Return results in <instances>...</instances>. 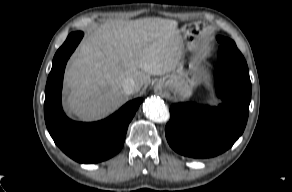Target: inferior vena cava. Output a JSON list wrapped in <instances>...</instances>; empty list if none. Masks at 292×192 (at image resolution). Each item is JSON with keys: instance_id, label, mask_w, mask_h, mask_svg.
Instances as JSON below:
<instances>
[{"instance_id": "602c4592", "label": "inferior vena cava", "mask_w": 292, "mask_h": 192, "mask_svg": "<svg viewBox=\"0 0 292 192\" xmlns=\"http://www.w3.org/2000/svg\"><path fill=\"white\" fill-rule=\"evenodd\" d=\"M122 89L125 94L130 95L134 93L135 90V81L131 78H126L122 81Z\"/></svg>"}]
</instances>
